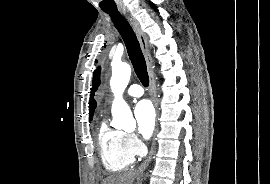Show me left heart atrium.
Returning a JSON list of instances; mask_svg holds the SVG:
<instances>
[{"label": "left heart atrium", "instance_id": "left-heart-atrium-1", "mask_svg": "<svg viewBox=\"0 0 270 184\" xmlns=\"http://www.w3.org/2000/svg\"><path fill=\"white\" fill-rule=\"evenodd\" d=\"M134 115L138 134L144 139L150 138L155 126V111L151 103L147 100L140 101L134 109Z\"/></svg>", "mask_w": 270, "mask_h": 184}]
</instances>
